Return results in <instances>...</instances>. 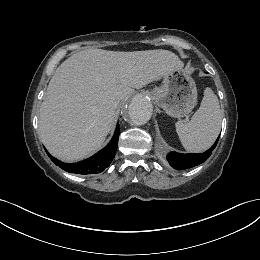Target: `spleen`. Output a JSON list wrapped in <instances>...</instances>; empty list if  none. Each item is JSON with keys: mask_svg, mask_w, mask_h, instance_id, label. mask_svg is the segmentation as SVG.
Instances as JSON below:
<instances>
[{"mask_svg": "<svg viewBox=\"0 0 260 260\" xmlns=\"http://www.w3.org/2000/svg\"><path fill=\"white\" fill-rule=\"evenodd\" d=\"M222 117L217 96L210 88H206L200 108L191 119L175 123L183 147L190 152L208 149L219 135Z\"/></svg>", "mask_w": 260, "mask_h": 260, "instance_id": "1", "label": "spleen"}]
</instances>
